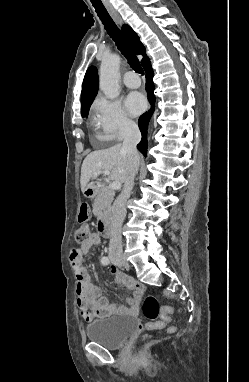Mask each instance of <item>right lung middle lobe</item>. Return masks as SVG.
Segmentation results:
<instances>
[{
  "mask_svg": "<svg viewBox=\"0 0 249 382\" xmlns=\"http://www.w3.org/2000/svg\"><path fill=\"white\" fill-rule=\"evenodd\" d=\"M88 112H89V108L87 110L81 112L82 117H87L88 116Z\"/></svg>",
  "mask_w": 249,
  "mask_h": 382,
  "instance_id": "dd1d6c3e",
  "label": "right lung middle lobe"
}]
</instances>
